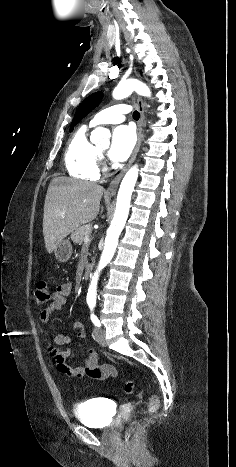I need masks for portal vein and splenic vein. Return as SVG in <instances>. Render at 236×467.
Wrapping results in <instances>:
<instances>
[{
	"instance_id": "18ae733b",
	"label": "portal vein and splenic vein",
	"mask_w": 236,
	"mask_h": 467,
	"mask_svg": "<svg viewBox=\"0 0 236 467\" xmlns=\"http://www.w3.org/2000/svg\"><path fill=\"white\" fill-rule=\"evenodd\" d=\"M89 241H90L89 236H85V237H84V242H85V243H88Z\"/></svg>"
}]
</instances>
